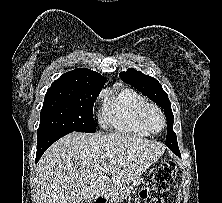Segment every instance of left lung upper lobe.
Segmentation results:
<instances>
[{
	"mask_svg": "<svg viewBox=\"0 0 222 203\" xmlns=\"http://www.w3.org/2000/svg\"><path fill=\"white\" fill-rule=\"evenodd\" d=\"M119 76L124 82L135 87L164 109V114L167 119L166 145L168 147L177 146L176 134L173 131V113L171 110V103L167 93L163 90L162 85L155 78L144 75L133 68L128 69L126 72H121Z\"/></svg>",
	"mask_w": 222,
	"mask_h": 203,
	"instance_id": "left-lung-upper-lobe-1",
	"label": "left lung upper lobe"
}]
</instances>
